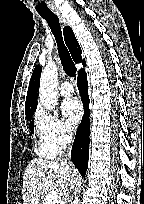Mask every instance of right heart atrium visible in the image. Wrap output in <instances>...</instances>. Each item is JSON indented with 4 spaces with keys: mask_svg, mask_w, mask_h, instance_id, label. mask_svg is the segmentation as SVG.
Wrapping results in <instances>:
<instances>
[{
    "mask_svg": "<svg viewBox=\"0 0 144 204\" xmlns=\"http://www.w3.org/2000/svg\"><path fill=\"white\" fill-rule=\"evenodd\" d=\"M36 119L42 140L57 153L62 152L72 139L71 129L57 114L43 109L38 110Z\"/></svg>",
    "mask_w": 144,
    "mask_h": 204,
    "instance_id": "d8ad5b80",
    "label": "right heart atrium"
}]
</instances>
